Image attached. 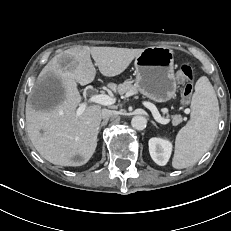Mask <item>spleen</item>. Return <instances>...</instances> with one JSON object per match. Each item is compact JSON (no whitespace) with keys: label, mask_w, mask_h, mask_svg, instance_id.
Returning a JSON list of instances; mask_svg holds the SVG:
<instances>
[{"label":"spleen","mask_w":231,"mask_h":231,"mask_svg":"<svg viewBox=\"0 0 231 231\" xmlns=\"http://www.w3.org/2000/svg\"><path fill=\"white\" fill-rule=\"evenodd\" d=\"M219 121L216 93L206 76L198 79L191 102V119L175 140L172 166L183 169L194 165L214 141Z\"/></svg>","instance_id":"spleen-1"}]
</instances>
